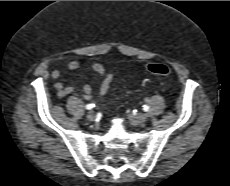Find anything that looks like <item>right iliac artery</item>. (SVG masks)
I'll list each match as a JSON object with an SVG mask.
<instances>
[{"label": "right iliac artery", "instance_id": "obj_1", "mask_svg": "<svg viewBox=\"0 0 230 186\" xmlns=\"http://www.w3.org/2000/svg\"><path fill=\"white\" fill-rule=\"evenodd\" d=\"M93 107H95L94 104H88V105H86V109H88V110L92 109Z\"/></svg>", "mask_w": 230, "mask_h": 186}]
</instances>
